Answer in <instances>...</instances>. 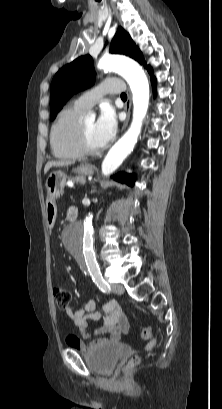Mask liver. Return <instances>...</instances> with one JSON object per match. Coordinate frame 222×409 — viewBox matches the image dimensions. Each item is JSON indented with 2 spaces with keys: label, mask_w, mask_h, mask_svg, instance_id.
Segmentation results:
<instances>
[{
  "label": "liver",
  "mask_w": 222,
  "mask_h": 409,
  "mask_svg": "<svg viewBox=\"0 0 222 409\" xmlns=\"http://www.w3.org/2000/svg\"><path fill=\"white\" fill-rule=\"evenodd\" d=\"M72 164L70 161H48L44 168V173L46 174L51 167L68 166Z\"/></svg>",
  "instance_id": "1"
}]
</instances>
